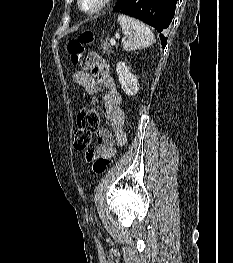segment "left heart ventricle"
<instances>
[{"label": "left heart ventricle", "instance_id": "b2bd125f", "mask_svg": "<svg viewBox=\"0 0 233 263\" xmlns=\"http://www.w3.org/2000/svg\"><path fill=\"white\" fill-rule=\"evenodd\" d=\"M98 0H85V7L92 8L97 4Z\"/></svg>", "mask_w": 233, "mask_h": 263}]
</instances>
